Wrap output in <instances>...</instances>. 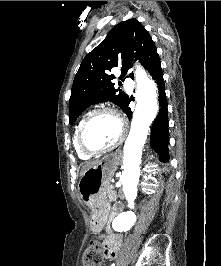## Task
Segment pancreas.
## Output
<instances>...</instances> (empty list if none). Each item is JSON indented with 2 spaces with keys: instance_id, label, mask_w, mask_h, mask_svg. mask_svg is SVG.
I'll use <instances>...</instances> for the list:
<instances>
[{
  "instance_id": "cf45deb5",
  "label": "pancreas",
  "mask_w": 221,
  "mask_h": 266,
  "mask_svg": "<svg viewBox=\"0 0 221 266\" xmlns=\"http://www.w3.org/2000/svg\"><path fill=\"white\" fill-rule=\"evenodd\" d=\"M106 194H107L109 201H115L117 199V193L114 190V186L112 184H109L107 186Z\"/></svg>"
}]
</instances>
